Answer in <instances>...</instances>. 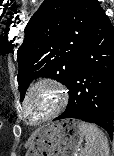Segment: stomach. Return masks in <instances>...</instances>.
Listing matches in <instances>:
<instances>
[{
    "instance_id": "1",
    "label": "stomach",
    "mask_w": 114,
    "mask_h": 156,
    "mask_svg": "<svg viewBox=\"0 0 114 156\" xmlns=\"http://www.w3.org/2000/svg\"><path fill=\"white\" fill-rule=\"evenodd\" d=\"M83 137L80 121L64 119L53 122L34 133L26 156H78Z\"/></svg>"
}]
</instances>
